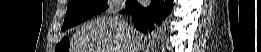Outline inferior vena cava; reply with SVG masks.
I'll return each instance as SVG.
<instances>
[{"instance_id": "1", "label": "inferior vena cava", "mask_w": 261, "mask_h": 52, "mask_svg": "<svg viewBox=\"0 0 261 52\" xmlns=\"http://www.w3.org/2000/svg\"><path fill=\"white\" fill-rule=\"evenodd\" d=\"M123 24L126 26V29H130V24L127 20L122 19ZM134 52H138L137 48L134 50Z\"/></svg>"}]
</instances>
